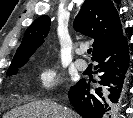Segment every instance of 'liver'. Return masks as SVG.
<instances>
[{
    "instance_id": "6515ba94",
    "label": "liver",
    "mask_w": 133,
    "mask_h": 118,
    "mask_svg": "<svg viewBox=\"0 0 133 118\" xmlns=\"http://www.w3.org/2000/svg\"><path fill=\"white\" fill-rule=\"evenodd\" d=\"M3 118H78V115L54 102L36 101L11 110Z\"/></svg>"
}]
</instances>
